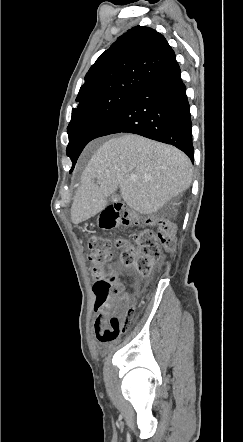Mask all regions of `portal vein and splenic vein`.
Wrapping results in <instances>:
<instances>
[{"instance_id": "portal-vein-and-splenic-vein-1", "label": "portal vein and splenic vein", "mask_w": 243, "mask_h": 442, "mask_svg": "<svg viewBox=\"0 0 243 442\" xmlns=\"http://www.w3.org/2000/svg\"><path fill=\"white\" fill-rule=\"evenodd\" d=\"M137 178H138L137 175H132V176L130 177L131 180H136Z\"/></svg>"}]
</instances>
